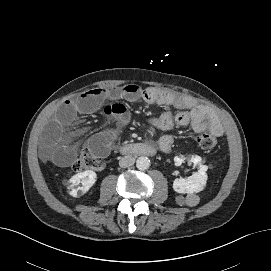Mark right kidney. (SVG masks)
Masks as SVG:
<instances>
[{
  "label": "right kidney",
  "mask_w": 271,
  "mask_h": 271,
  "mask_svg": "<svg viewBox=\"0 0 271 271\" xmlns=\"http://www.w3.org/2000/svg\"><path fill=\"white\" fill-rule=\"evenodd\" d=\"M96 180L97 175L92 170L77 173L69 180L68 193L73 197L83 196L95 184ZM80 183L82 186H79Z\"/></svg>",
  "instance_id": "1"
}]
</instances>
